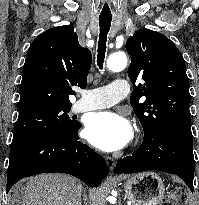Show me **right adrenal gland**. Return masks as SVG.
<instances>
[{
  "label": "right adrenal gland",
  "mask_w": 199,
  "mask_h": 205,
  "mask_svg": "<svg viewBox=\"0 0 199 205\" xmlns=\"http://www.w3.org/2000/svg\"><path fill=\"white\" fill-rule=\"evenodd\" d=\"M83 200H84V204L87 205V195L85 191L83 193Z\"/></svg>",
  "instance_id": "obj_1"
}]
</instances>
